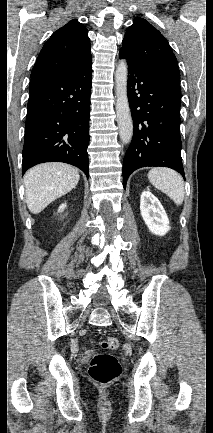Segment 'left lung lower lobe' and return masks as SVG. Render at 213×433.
Returning a JSON list of instances; mask_svg holds the SVG:
<instances>
[{
  "label": "left lung lower lobe",
  "mask_w": 213,
  "mask_h": 433,
  "mask_svg": "<svg viewBox=\"0 0 213 433\" xmlns=\"http://www.w3.org/2000/svg\"><path fill=\"white\" fill-rule=\"evenodd\" d=\"M128 64L127 94L134 136L123 160V186L146 166L169 167L185 179L181 158L180 99L175 86L157 79L120 54Z\"/></svg>",
  "instance_id": "0a47b994"
}]
</instances>
